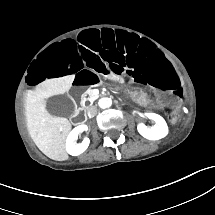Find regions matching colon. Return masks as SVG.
<instances>
[{"label":"colon","instance_id":"obj_1","mask_svg":"<svg viewBox=\"0 0 215 215\" xmlns=\"http://www.w3.org/2000/svg\"><path fill=\"white\" fill-rule=\"evenodd\" d=\"M170 119H171V121H172L173 123H175V122H176V116L171 115V116H170Z\"/></svg>","mask_w":215,"mask_h":215}]
</instances>
